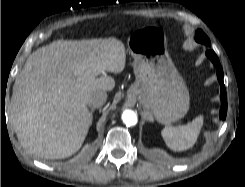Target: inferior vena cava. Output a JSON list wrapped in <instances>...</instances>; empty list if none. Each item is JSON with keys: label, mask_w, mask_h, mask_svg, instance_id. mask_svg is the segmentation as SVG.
<instances>
[{"label": "inferior vena cava", "mask_w": 245, "mask_h": 187, "mask_svg": "<svg viewBox=\"0 0 245 187\" xmlns=\"http://www.w3.org/2000/svg\"><path fill=\"white\" fill-rule=\"evenodd\" d=\"M107 93L103 90L96 91L89 95L87 105L91 108H99L105 104Z\"/></svg>", "instance_id": "602c4592"}]
</instances>
